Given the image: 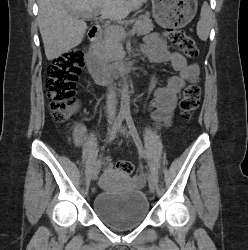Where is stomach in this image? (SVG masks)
Listing matches in <instances>:
<instances>
[{"label":"stomach","instance_id":"0dacf381","mask_svg":"<svg viewBox=\"0 0 248 250\" xmlns=\"http://www.w3.org/2000/svg\"><path fill=\"white\" fill-rule=\"evenodd\" d=\"M197 7V0H152V15L164 28H181L194 18Z\"/></svg>","mask_w":248,"mask_h":250}]
</instances>
